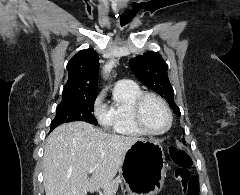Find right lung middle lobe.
<instances>
[{"instance_id": "right-lung-middle-lobe-1", "label": "right lung middle lobe", "mask_w": 240, "mask_h": 195, "mask_svg": "<svg viewBox=\"0 0 240 195\" xmlns=\"http://www.w3.org/2000/svg\"><path fill=\"white\" fill-rule=\"evenodd\" d=\"M96 97L62 98L56 110V117L51 122V131L58 125L72 121H85L94 125L98 122L93 115Z\"/></svg>"}]
</instances>
